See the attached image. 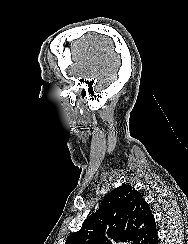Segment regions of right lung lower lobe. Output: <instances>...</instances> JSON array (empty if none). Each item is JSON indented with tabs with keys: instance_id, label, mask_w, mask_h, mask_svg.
Masks as SVG:
<instances>
[{
	"instance_id": "obj_1",
	"label": "right lung lower lobe",
	"mask_w": 188,
	"mask_h": 244,
	"mask_svg": "<svg viewBox=\"0 0 188 244\" xmlns=\"http://www.w3.org/2000/svg\"><path fill=\"white\" fill-rule=\"evenodd\" d=\"M143 244H158V236L156 231V225L150 230L147 238Z\"/></svg>"
}]
</instances>
